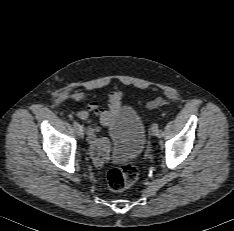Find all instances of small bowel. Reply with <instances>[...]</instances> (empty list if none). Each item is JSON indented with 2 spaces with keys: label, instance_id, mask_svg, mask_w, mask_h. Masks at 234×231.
<instances>
[{
  "label": "small bowel",
  "instance_id": "1",
  "mask_svg": "<svg viewBox=\"0 0 234 231\" xmlns=\"http://www.w3.org/2000/svg\"><path fill=\"white\" fill-rule=\"evenodd\" d=\"M67 97L74 101H84L86 99V95L82 92H74ZM122 98V92L115 90L110 93L106 108H100L97 103L92 102L86 109L77 113L79 119L87 122L90 155L95 167H102L108 162L111 159V153L108 141L103 137H98L100 127L91 119V116H96L101 125L106 127L111 126Z\"/></svg>",
  "mask_w": 234,
  "mask_h": 231
}]
</instances>
